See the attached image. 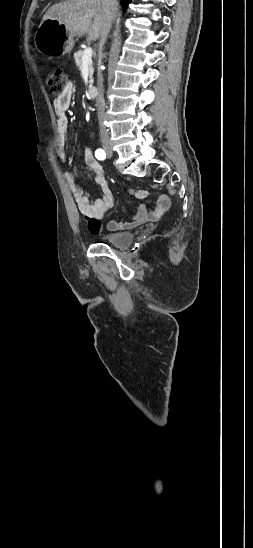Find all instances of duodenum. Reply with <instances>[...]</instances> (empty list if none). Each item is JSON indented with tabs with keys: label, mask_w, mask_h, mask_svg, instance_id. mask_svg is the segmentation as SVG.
Segmentation results:
<instances>
[{
	"label": "duodenum",
	"mask_w": 253,
	"mask_h": 548,
	"mask_svg": "<svg viewBox=\"0 0 253 548\" xmlns=\"http://www.w3.org/2000/svg\"><path fill=\"white\" fill-rule=\"evenodd\" d=\"M98 95V89L95 86H91L88 89V96L92 99L96 98Z\"/></svg>",
	"instance_id": "410a0bca"
}]
</instances>
